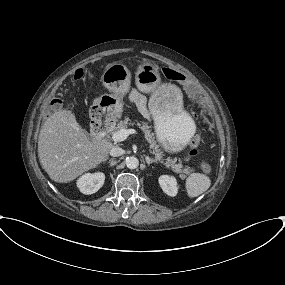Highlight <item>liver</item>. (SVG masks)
I'll list each match as a JSON object with an SVG mask.
<instances>
[{"label":"liver","mask_w":285,"mask_h":285,"mask_svg":"<svg viewBox=\"0 0 285 285\" xmlns=\"http://www.w3.org/2000/svg\"><path fill=\"white\" fill-rule=\"evenodd\" d=\"M113 147L108 141H92L70 110L54 112L43 124L38 139V157L50 179L73 181L108 159Z\"/></svg>","instance_id":"1"}]
</instances>
